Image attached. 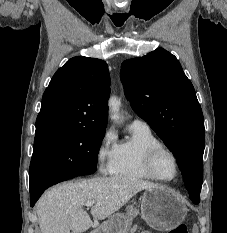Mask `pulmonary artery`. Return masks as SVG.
Masks as SVG:
<instances>
[{
    "label": "pulmonary artery",
    "instance_id": "e3ab8cb5",
    "mask_svg": "<svg viewBox=\"0 0 227 233\" xmlns=\"http://www.w3.org/2000/svg\"><path fill=\"white\" fill-rule=\"evenodd\" d=\"M130 126H133V127H140V128H149L147 122H145L144 120L142 119H139V118H135Z\"/></svg>",
    "mask_w": 227,
    "mask_h": 233
}]
</instances>
